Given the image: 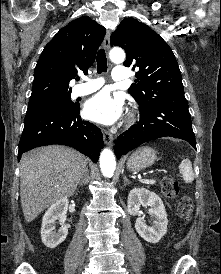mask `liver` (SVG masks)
I'll return each mask as SVG.
<instances>
[{"label":"liver","instance_id":"obj_1","mask_svg":"<svg viewBox=\"0 0 221 274\" xmlns=\"http://www.w3.org/2000/svg\"><path fill=\"white\" fill-rule=\"evenodd\" d=\"M87 165L78 151L58 145L45 146L22 155L20 198L27 222L43 210L74 193Z\"/></svg>","mask_w":221,"mask_h":274}]
</instances>
